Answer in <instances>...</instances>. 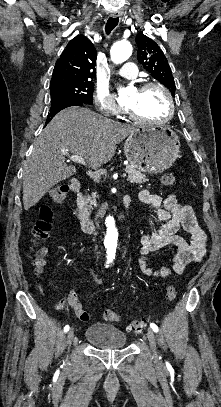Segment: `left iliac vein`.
Returning a JSON list of instances; mask_svg holds the SVG:
<instances>
[{"mask_svg":"<svg viewBox=\"0 0 221 407\" xmlns=\"http://www.w3.org/2000/svg\"><path fill=\"white\" fill-rule=\"evenodd\" d=\"M147 338L149 340V343L151 345V350L154 358L158 357V353L156 350V339H155V334L152 329H147Z\"/></svg>","mask_w":221,"mask_h":407,"instance_id":"obj_1","label":"left iliac vein"}]
</instances>
